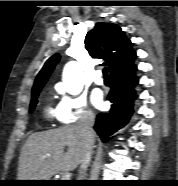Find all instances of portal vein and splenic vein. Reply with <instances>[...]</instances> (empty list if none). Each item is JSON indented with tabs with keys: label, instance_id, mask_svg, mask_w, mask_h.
<instances>
[{
	"label": "portal vein and splenic vein",
	"instance_id": "18ae733b",
	"mask_svg": "<svg viewBox=\"0 0 178 186\" xmlns=\"http://www.w3.org/2000/svg\"><path fill=\"white\" fill-rule=\"evenodd\" d=\"M50 156V154H46V155H44V157L42 158V159H45V158H47V157H49ZM70 177H71V174L69 173V172H65V173H63V175H62V180H70Z\"/></svg>",
	"mask_w": 178,
	"mask_h": 186
}]
</instances>
